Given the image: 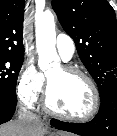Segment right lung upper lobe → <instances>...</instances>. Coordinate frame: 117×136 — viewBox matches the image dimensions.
<instances>
[{"instance_id":"1","label":"right lung upper lobe","mask_w":117,"mask_h":136,"mask_svg":"<svg viewBox=\"0 0 117 136\" xmlns=\"http://www.w3.org/2000/svg\"><path fill=\"white\" fill-rule=\"evenodd\" d=\"M24 0H0V56L23 57Z\"/></svg>"}]
</instances>
